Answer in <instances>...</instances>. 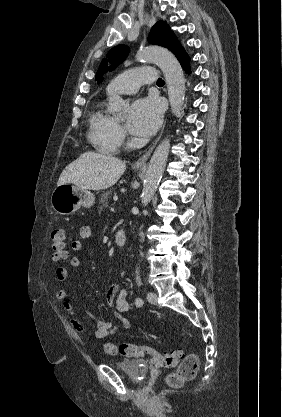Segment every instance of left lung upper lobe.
<instances>
[{"label":"left lung upper lobe","instance_id":"left-lung-upper-lobe-1","mask_svg":"<svg viewBox=\"0 0 282 417\" xmlns=\"http://www.w3.org/2000/svg\"><path fill=\"white\" fill-rule=\"evenodd\" d=\"M148 41L151 44L161 45L174 51L180 45L177 37L167 25L165 21H158L151 29L148 37ZM129 49L125 45H118L112 48L106 55L107 59H103L100 67L97 71L95 80L100 83L103 81V74L107 70L115 69L119 64H121L127 57ZM108 63L111 64L108 67Z\"/></svg>","mask_w":282,"mask_h":417}]
</instances>
